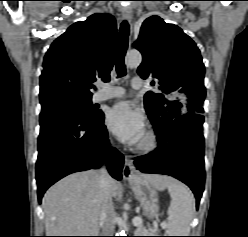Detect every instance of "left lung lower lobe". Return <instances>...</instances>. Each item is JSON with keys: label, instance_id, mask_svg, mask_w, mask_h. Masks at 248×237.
<instances>
[{"label": "left lung lower lobe", "instance_id": "obj_1", "mask_svg": "<svg viewBox=\"0 0 248 237\" xmlns=\"http://www.w3.org/2000/svg\"><path fill=\"white\" fill-rule=\"evenodd\" d=\"M204 117L183 114L157 135V150L136 158L134 164L143 173L167 174L188 185L196 197V207L204 190Z\"/></svg>", "mask_w": 248, "mask_h": 237}]
</instances>
